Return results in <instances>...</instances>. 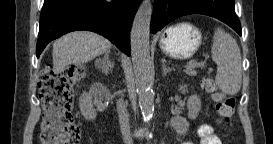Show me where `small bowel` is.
Instances as JSON below:
<instances>
[{
    "label": "small bowel",
    "mask_w": 273,
    "mask_h": 144,
    "mask_svg": "<svg viewBox=\"0 0 273 144\" xmlns=\"http://www.w3.org/2000/svg\"><path fill=\"white\" fill-rule=\"evenodd\" d=\"M197 134L200 137V144H221L220 138L209 124H201L198 127ZM184 143L190 144V142Z\"/></svg>",
    "instance_id": "small-bowel-1"
}]
</instances>
